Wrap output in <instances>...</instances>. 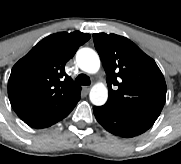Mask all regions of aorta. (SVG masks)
I'll return each mask as SVG.
<instances>
[{"instance_id":"aorta-1","label":"aorta","mask_w":181,"mask_h":164,"mask_svg":"<svg viewBox=\"0 0 181 164\" xmlns=\"http://www.w3.org/2000/svg\"><path fill=\"white\" fill-rule=\"evenodd\" d=\"M76 62L81 70L94 74L100 68V59L97 53L90 48H82L76 54ZM90 101L96 106L105 104L108 98V90L103 83L95 84L90 91Z\"/></svg>"}]
</instances>
